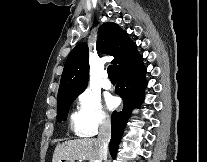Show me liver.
<instances>
[{
	"mask_svg": "<svg viewBox=\"0 0 207 162\" xmlns=\"http://www.w3.org/2000/svg\"><path fill=\"white\" fill-rule=\"evenodd\" d=\"M62 160L74 162L75 160H99V143L94 138H83L65 141L58 144L54 150L52 162Z\"/></svg>",
	"mask_w": 207,
	"mask_h": 162,
	"instance_id": "1",
	"label": "liver"
}]
</instances>
